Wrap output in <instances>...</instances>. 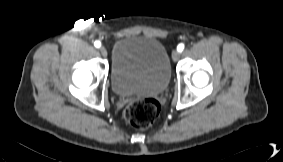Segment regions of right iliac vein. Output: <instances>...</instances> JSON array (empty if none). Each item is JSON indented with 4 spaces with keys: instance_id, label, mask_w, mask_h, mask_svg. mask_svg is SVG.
I'll return each instance as SVG.
<instances>
[{
    "instance_id": "right-iliac-vein-1",
    "label": "right iliac vein",
    "mask_w": 283,
    "mask_h": 162,
    "mask_svg": "<svg viewBox=\"0 0 283 162\" xmlns=\"http://www.w3.org/2000/svg\"><path fill=\"white\" fill-rule=\"evenodd\" d=\"M99 51H100V53H101L102 56H104V57L107 56V50H106V48H105L104 46H101V47L99 48Z\"/></svg>"
}]
</instances>
